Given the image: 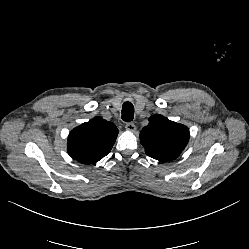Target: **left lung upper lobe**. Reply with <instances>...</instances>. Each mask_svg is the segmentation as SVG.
<instances>
[{
    "label": "left lung upper lobe",
    "mask_w": 249,
    "mask_h": 249,
    "mask_svg": "<svg viewBox=\"0 0 249 249\" xmlns=\"http://www.w3.org/2000/svg\"><path fill=\"white\" fill-rule=\"evenodd\" d=\"M148 156L162 162L177 158L189 141V129L162 115H153L139 135Z\"/></svg>",
    "instance_id": "obj_1"
}]
</instances>
